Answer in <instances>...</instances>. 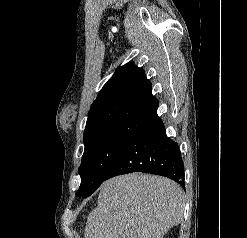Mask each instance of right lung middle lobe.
I'll use <instances>...</instances> for the list:
<instances>
[{"label":"right lung middle lobe","mask_w":247,"mask_h":238,"mask_svg":"<svg viewBox=\"0 0 247 238\" xmlns=\"http://www.w3.org/2000/svg\"><path fill=\"white\" fill-rule=\"evenodd\" d=\"M146 122L143 119H122L84 136L78 197L90 196L101 185L112 165Z\"/></svg>","instance_id":"dd1d6c3e"}]
</instances>
